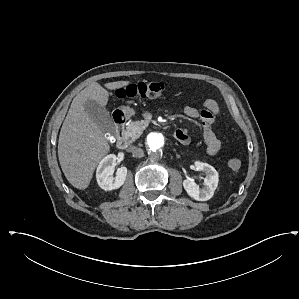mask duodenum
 <instances>
[{"label": "duodenum", "instance_id": "duodenum-1", "mask_svg": "<svg viewBox=\"0 0 299 299\" xmlns=\"http://www.w3.org/2000/svg\"><path fill=\"white\" fill-rule=\"evenodd\" d=\"M112 118L117 136L116 146L118 149H126L128 147V142L122 134L126 123V114L123 111L117 110L113 112Z\"/></svg>", "mask_w": 299, "mask_h": 299}]
</instances>
